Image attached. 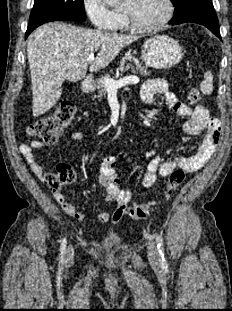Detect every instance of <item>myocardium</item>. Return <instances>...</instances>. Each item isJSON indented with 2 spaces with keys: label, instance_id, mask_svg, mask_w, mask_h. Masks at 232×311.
I'll return each instance as SVG.
<instances>
[{
  "label": "myocardium",
  "instance_id": "1",
  "mask_svg": "<svg viewBox=\"0 0 232 311\" xmlns=\"http://www.w3.org/2000/svg\"><path fill=\"white\" fill-rule=\"evenodd\" d=\"M165 4V14L156 24L151 26H141L137 24L132 18L131 14L125 10H123V16L127 26L138 33H154L165 27L167 23L171 20L174 12L173 3L171 0H163Z\"/></svg>",
  "mask_w": 232,
  "mask_h": 311
}]
</instances>
